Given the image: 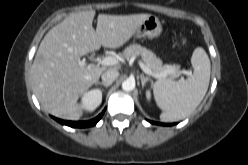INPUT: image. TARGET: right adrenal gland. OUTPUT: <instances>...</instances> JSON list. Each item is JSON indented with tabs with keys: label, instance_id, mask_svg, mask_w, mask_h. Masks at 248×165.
<instances>
[{
	"label": "right adrenal gland",
	"instance_id": "right-adrenal-gland-1",
	"mask_svg": "<svg viewBox=\"0 0 248 165\" xmlns=\"http://www.w3.org/2000/svg\"><path fill=\"white\" fill-rule=\"evenodd\" d=\"M95 84L96 85H103L105 87H109L111 85L110 83H104V82H99V81H97Z\"/></svg>",
	"mask_w": 248,
	"mask_h": 165
}]
</instances>
